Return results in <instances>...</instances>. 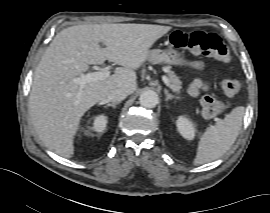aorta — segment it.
<instances>
[{"mask_svg":"<svg viewBox=\"0 0 270 213\" xmlns=\"http://www.w3.org/2000/svg\"><path fill=\"white\" fill-rule=\"evenodd\" d=\"M158 94L153 90L143 91L139 97V102L143 107L154 108L158 104Z\"/></svg>","mask_w":270,"mask_h":213,"instance_id":"1","label":"aorta"}]
</instances>
